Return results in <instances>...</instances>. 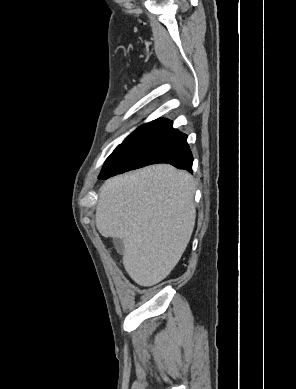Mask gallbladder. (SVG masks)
Instances as JSON below:
<instances>
[{
    "instance_id": "1",
    "label": "gallbladder",
    "mask_w": 296,
    "mask_h": 389,
    "mask_svg": "<svg viewBox=\"0 0 296 389\" xmlns=\"http://www.w3.org/2000/svg\"><path fill=\"white\" fill-rule=\"evenodd\" d=\"M114 246H115V249L117 250V252L119 254H123V251H124V244H123V241L121 238H113L112 240Z\"/></svg>"
}]
</instances>
